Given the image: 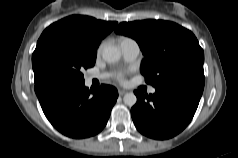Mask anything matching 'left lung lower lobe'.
Returning <instances> with one entry per match:
<instances>
[{
    "label": "left lung lower lobe",
    "mask_w": 238,
    "mask_h": 158,
    "mask_svg": "<svg viewBox=\"0 0 238 158\" xmlns=\"http://www.w3.org/2000/svg\"><path fill=\"white\" fill-rule=\"evenodd\" d=\"M204 83V76L193 75L157 86L149 96L135 91L137 103L131 116L138 131L153 139L180 133L196 112Z\"/></svg>",
    "instance_id": "obj_1"
}]
</instances>
